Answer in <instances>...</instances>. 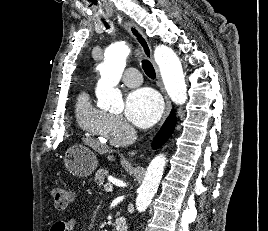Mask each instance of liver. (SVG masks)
<instances>
[{
	"label": "liver",
	"mask_w": 268,
	"mask_h": 231,
	"mask_svg": "<svg viewBox=\"0 0 268 231\" xmlns=\"http://www.w3.org/2000/svg\"><path fill=\"white\" fill-rule=\"evenodd\" d=\"M84 143L88 146H90L93 150L99 152L100 154H104L108 152V147L104 146L103 144L99 143L98 141L92 140V139H84ZM108 160H114V157L112 155L108 156Z\"/></svg>",
	"instance_id": "obj_1"
}]
</instances>
